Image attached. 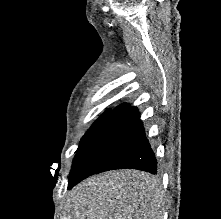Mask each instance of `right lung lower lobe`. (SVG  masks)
Masks as SVG:
<instances>
[{
  "label": "right lung lower lobe",
  "mask_w": 221,
  "mask_h": 219,
  "mask_svg": "<svg viewBox=\"0 0 221 219\" xmlns=\"http://www.w3.org/2000/svg\"><path fill=\"white\" fill-rule=\"evenodd\" d=\"M123 168L157 172V160L139 112L129 104L113 109L78 149L68 189L90 175Z\"/></svg>",
  "instance_id": "right-lung-lower-lobe-1"
}]
</instances>
